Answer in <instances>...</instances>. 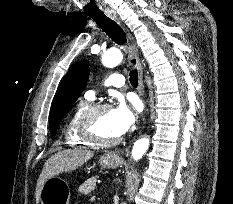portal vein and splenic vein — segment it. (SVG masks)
Segmentation results:
<instances>
[{
	"instance_id": "portal-vein-and-splenic-vein-1",
	"label": "portal vein and splenic vein",
	"mask_w": 233,
	"mask_h": 204,
	"mask_svg": "<svg viewBox=\"0 0 233 204\" xmlns=\"http://www.w3.org/2000/svg\"><path fill=\"white\" fill-rule=\"evenodd\" d=\"M96 199V196H92L91 200L94 201Z\"/></svg>"
}]
</instances>
